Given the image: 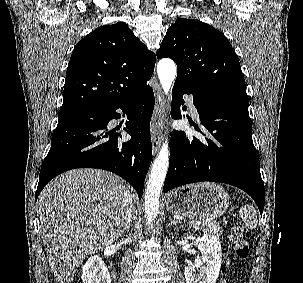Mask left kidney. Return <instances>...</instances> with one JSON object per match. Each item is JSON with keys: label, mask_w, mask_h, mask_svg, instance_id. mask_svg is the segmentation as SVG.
Segmentation results:
<instances>
[{"label": "left kidney", "mask_w": 303, "mask_h": 283, "mask_svg": "<svg viewBox=\"0 0 303 283\" xmlns=\"http://www.w3.org/2000/svg\"><path fill=\"white\" fill-rule=\"evenodd\" d=\"M202 257L185 266L186 283H215L222 264L221 244L217 237L203 235L197 240ZM195 268L200 269L195 274Z\"/></svg>", "instance_id": "1"}]
</instances>
